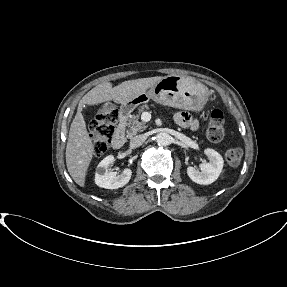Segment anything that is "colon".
<instances>
[{"instance_id":"1","label":"colon","mask_w":287,"mask_h":287,"mask_svg":"<svg viewBox=\"0 0 287 287\" xmlns=\"http://www.w3.org/2000/svg\"><path fill=\"white\" fill-rule=\"evenodd\" d=\"M117 121L118 111L116 106L112 102L101 105L91 124L93 154L96 158L103 156L107 151L113 139ZM206 135L211 142H219L224 138V118L220 110L212 112ZM242 155V150L234 147L226 151L225 158L229 165L236 166L241 162Z\"/></svg>"}]
</instances>
